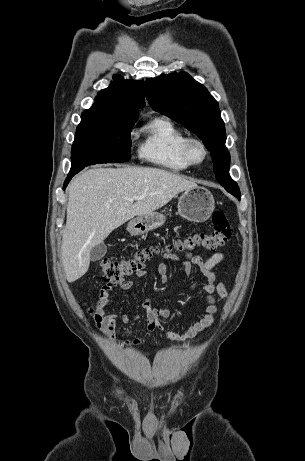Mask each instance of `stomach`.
Returning a JSON list of instances; mask_svg holds the SVG:
<instances>
[{
	"mask_svg": "<svg viewBox=\"0 0 305 461\" xmlns=\"http://www.w3.org/2000/svg\"><path fill=\"white\" fill-rule=\"evenodd\" d=\"M215 208L212 193L204 187L185 190L178 201V214L192 222H205ZM166 216L160 212H151L132 219L127 230L132 236H139L161 227Z\"/></svg>",
	"mask_w": 305,
	"mask_h": 461,
	"instance_id": "stomach-1",
	"label": "stomach"
}]
</instances>
